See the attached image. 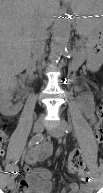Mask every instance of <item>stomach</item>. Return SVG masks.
<instances>
[{
    "mask_svg": "<svg viewBox=\"0 0 103 193\" xmlns=\"http://www.w3.org/2000/svg\"><path fill=\"white\" fill-rule=\"evenodd\" d=\"M70 5L78 16L100 17L103 12V0H70ZM79 30L83 31L82 28Z\"/></svg>",
    "mask_w": 103,
    "mask_h": 193,
    "instance_id": "stomach-1",
    "label": "stomach"
}]
</instances>
